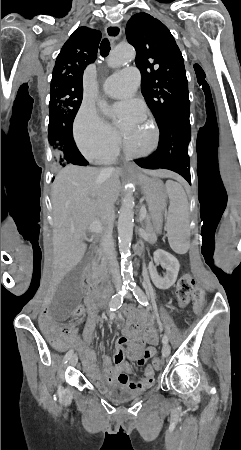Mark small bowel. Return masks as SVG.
Segmentation results:
<instances>
[{
	"mask_svg": "<svg viewBox=\"0 0 241 450\" xmlns=\"http://www.w3.org/2000/svg\"><path fill=\"white\" fill-rule=\"evenodd\" d=\"M85 288V303L89 309L90 319L81 333H78V327H66L62 332L70 340H73L76 348L81 352L87 375L98 388L103 390L116 382L122 389L142 391L149 388L155 382V369H150L146 366L143 379L141 381H132L129 376L131 367L125 358L127 357L138 366H144L146 361L156 354L157 333L153 330H148L146 324H141L138 328L136 324H130L131 321L128 320L124 325V335L117 341L116 352L113 358L108 356L102 357V371H99L95 365V354L89 349V343L95 329L94 318L97 311V296L92 292L94 288L93 283H86ZM39 306L40 310H37L36 313L37 319H52L53 313L52 310H49L47 301H40ZM42 326L44 335H50V342L57 344L60 339L57 335H52L53 331L50 328V321H43Z\"/></svg>",
	"mask_w": 241,
	"mask_h": 450,
	"instance_id": "1",
	"label": "small bowel"
}]
</instances>
